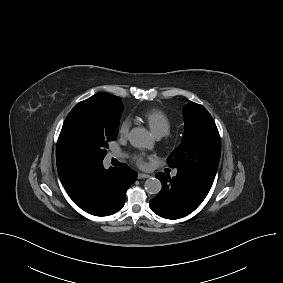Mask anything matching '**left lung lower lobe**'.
I'll return each instance as SVG.
<instances>
[{"label":"left lung lower lobe","instance_id":"1","mask_svg":"<svg viewBox=\"0 0 283 283\" xmlns=\"http://www.w3.org/2000/svg\"><path fill=\"white\" fill-rule=\"evenodd\" d=\"M162 183L159 194L150 200L151 210L166 219H178L194 211L204 200L211 186L185 172L173 178L164 173L156 174Z\"/></svg>","mask_w":283,"mask_h":283}]
</instances>
